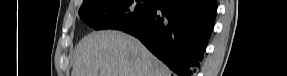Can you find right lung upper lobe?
<instances>
[{
  "instance_id": "obj_1",
  "label": "right lung upper lobe",
  "mask_w": 287,
  "mask_h": 76,
  "mask_svg": "<svg viewBox=\"0 0 287 76\" xmlns=\"http://www.w3.org/2000/svg\"><path fill=\"white\" fill-rule=\"evenodd\" d=\"M87 1H88V0H84V2H87ZM84 2H83V3H84Z\"/></svg>"
}]
</instances>
